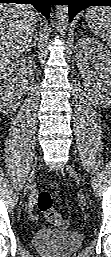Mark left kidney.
Returning a JSON list of instances; mask_svg holds the SVG:
<instances>
[{"mask_svg":"<svg viewBox=\"0 0 111 257\" xmlns=\"http://www.w3.org/2000/svg\"><path fill=\"white\" fill-rule=\"evenodd\" d=\"M76 61L81 73L92 81L91 94L101 104H111V52L102 43L83 38L76 44ZM91 61L94 70L90 68ZM97 75V76H96Z\"/></svg>","mask_w":111,"mask_h":257,"instance_id":"left-kidney-1","label":"left kidney"}]
</instances>
